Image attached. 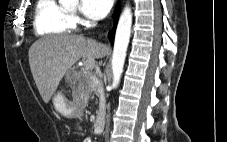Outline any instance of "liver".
Masks as SVG:
<instances>
[{
  "instance_id": "1",
  "label": "liver",
  "mask_w": 227,
  "mask_h": 142,
  "mask_svg": "<svg viewBox=\"0 0 227 142\" xmlns=\"http://www.w3.org/2000/svg\"><path fill=\"white\" fill-rule=\"evenodd\" d=\"M107 52L108 46L83 35H50L35 41L29 49V65L43 101L49 102L63 76L81 58L93 66Z\"/></svg>"
}]
</instances>
